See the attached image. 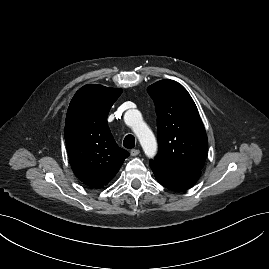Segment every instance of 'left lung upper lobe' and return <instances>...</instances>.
Returning a JSON list of instances; mask_svg holds the SVG:
<instances>
[{
  "instance_id": "5c2ea615",
  "label": "left lung upper lobe",
  "mask_w": 269,
  "mask_h": 269,
  "mask_svg": "<svg viewBox=\"0 0 269 269\" xmlns=\"http://www.w3.org/2000/svg\"><path fill=\"white\" fill-rule=\"evenodd\" d=\"M157 114L159 151L155 161L201 170L208 139L198 109L178 82L161 80L147 89Z\"/></svg>"
}]
</instances>
